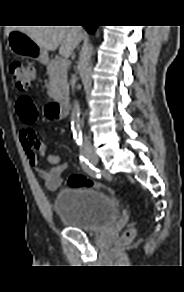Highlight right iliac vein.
Returning a JSON list of instances; mask_svg holds the SVG:
<instances>
[{
  "label": "right iliac vein",
  "instance_id": "obj_1",
  "mask_svg": "<svg viewBox=\"0 0 184 292\" xmlns=\"http://www.w3.org/2000/svg\"><path fill=\"white\" fill-rule=\"evenodd\" d=\"M88 159L93 163L97 161V158L95 156H89Z\"/></svg>",
  "mask_w": 184,
  "mask_h": 292
}]
</instances>
